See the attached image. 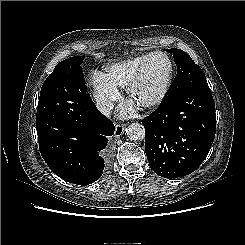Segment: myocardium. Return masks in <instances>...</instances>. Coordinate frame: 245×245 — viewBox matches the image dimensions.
<instances>
[{
    "mask_svg": "<svg viewBox=\"0 0 245 245\" xmlns=\"http://www.w3.org/2000/svg\"><path fill=\"white\" fill-rule=\"evenodd\" d=\"M157 56L163 57L167 60V62H168L167 75H166V78H165V81L163 83L161 90L159 91V93L156 95L155 98H153L150 101L137 104V106L143 110H152V109L157 108L166 98V96L170 90L171 84H172L174 67H173V63H172L170 57L163 52H159V51L152 52L148 55L147 59L143 62L140 69L138 70L137 74L135 75V77L129 83V85L127 87L128 100L130 102L134 103L133 102L134 101V94H135L137 88L140 86V84L144 78L148 63H149L151 58L157 57Z\"/></svg>",
    "mask_w": 245,
    "mask_h": 245,
    "instance_id": "myocardium-1",
    "label": "myocardium"
}]
</instances>
